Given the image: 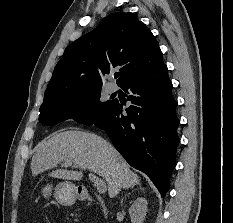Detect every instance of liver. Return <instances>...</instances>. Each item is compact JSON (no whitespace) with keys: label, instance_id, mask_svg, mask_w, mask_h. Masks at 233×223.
<instances>
[{"label":"liver","instance_id":"obj_1","mask_svg":"<svg viewBox=\"0 0 233 223\" xmlns=\"http://www.w3.org/2000/svg\"><path fill=\"white\" fill-rule=\"evenodd\" d=\"M61 161L71 165L72 169L60 167L50 171L49 175L81 181L83 169H88L105 179L109 197H115L121 187H134L140 183L137 173L129 169L128 163L109 141L96 133L78 131V127H70L69 131L54 133L49 139L40 141L32 157L31 173L39 175L58 167Z\"/></svg>","mask_w":233,"mask_h":223}]
</instances>
